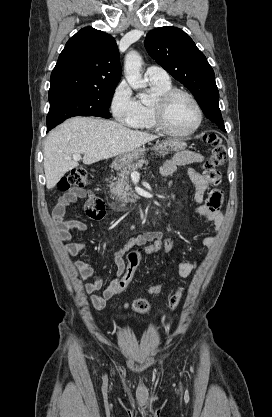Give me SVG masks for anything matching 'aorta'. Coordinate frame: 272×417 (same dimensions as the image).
I'll return each instance as SVG.
<instances>
[{
	"mask_svg": "<svg viewBox=\"0 0 272 417\" xmlns=\"http://www.w3.org/2000/svg\"><path fill=\"white\" fill-rule=\"evenodd\" d=\"M141 67L142 58L136 51H131L126 54L124 64L125 78L129 85L135 90L142 89L147 86L146 82L142 79ZM140 98L143 103H146L148 95L141 93Z\"/></svg>",
	"mask_w": 272,
	"mask_h": 417,
	"instance_id": "aorta-1",
	"label": "aorta"
}]
</instances>
